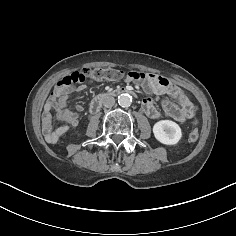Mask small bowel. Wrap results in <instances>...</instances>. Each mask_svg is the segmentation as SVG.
Listing matches in <instances>:
<instances>
[{"instance_id":"obj_1","label":"small bowel","mask_w":236,"mask_h":236,"mask_svg":"<svg viewBox=\"0 0 236 236\" xmlns=\"http://www.w3.org/2000/svg\"><path fill=\"white\" fill-rule=\"evenodd\" d=\"M130 74L132 72H129ZM142 73V72H141ZM141 80H134L127 75L128 82H141L146 91L157 96H171L172 100L164 99L162 101L163 111H159L154 101L150 98L143 100L142 107L144 112L152 119L161 117L172 118L179 122H185L194 114V107L189 98L175 86L167 77L155 74H145ZM59 81V87L48 97L42 112V130L48 143H58L71 128L76 127L79 123L78 112L83 110L82 104H77L75 109L69 108L67 99L73 92H83L86 85L77 84L69 87L64 84V79ZM52 111L56 112V119L62 124L56 128L53 127Z\"/></svg>"}]
</instances>
